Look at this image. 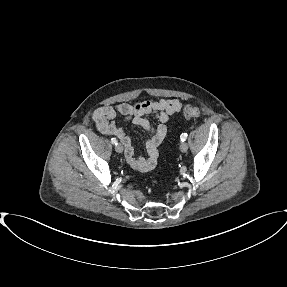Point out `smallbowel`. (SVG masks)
<instances>
[{
  "label": "small bowel",
  "mask_w": 287,
  "mask_h": 287,
  "mask_svg": "<svg viewBox=\"0 0 287 287\" xmlns=\"http://www.w3.org/2000/svg\"><path fill=\"white\" fill-rule=\"evenodd\" d=\"M182 102L178 99H160L138 101L134 104H118L116 106H103L94 112V121L97 129L105 135L116 136L124 145L127 163L134 169L145 172L154 168L158 160V146L167 134L166 123L181 109ZM154 114L159 121L155 127L151 126L146 115ZM123 117L125 121L149 132L146 139L147 158L136 157L131 139L125 129L117 125L114 119Z\"/></svg>",
  "instance_id": "1"
}]
</instances>
